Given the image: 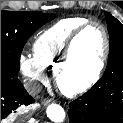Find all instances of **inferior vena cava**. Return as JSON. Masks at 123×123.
Returning a JSON list of instances; mask_svg holds the SVG:
<instances>
[{"label": "inferior vena cava", "mask_w": 123, "mask_h": 123, "mask_svg": "<svg viewBox=\"0 0 123 123\" xmlns=\"http://www.w3.org/2000/svg\"><path fill=\"white\" fill-rule=\"evenodd\" d=\"M24 87L31 96H35L41 90V85L38 82L31 79H27L24 81Z\"/></svg>", "instance_id": "602c4592"}]
</instances>
